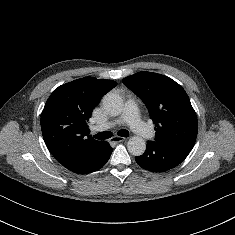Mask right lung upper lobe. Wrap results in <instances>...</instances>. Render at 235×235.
Wrapping results in <instances>:
<instances>
[{
  "label": "right lung upper lobe",
  "instance_id": "obj_1",
  "mask_svg": "<svg viewBox=\"0 0 235 235\" xmlns=\"http://www.w3.org/2000/svg\"><path fill=\"white\" fill-rule=\"evenodd\" d=\"M116 85L112 80L84 77L59 86L46 101L41 114L43 139L52 155L70 171L103 143L89 136L87 122L98 101Z\"/></svg>",
  "mask_w": 235,
  "mask_h": 235
}]
</instances>
